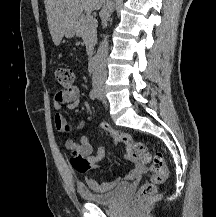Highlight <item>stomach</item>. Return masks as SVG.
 Here are the masks:
<instances>
[{
	"instance_id": "1",
	"label": "stomach",
	"mask_w": 216,
	"mask_h": 217,
	"mask_svg": "<svg viewBox=\"0 0 216 217\" xmlns=\"http://www.w3.org/2000/svg\"><path fill=\"white\" fill-rule=\"evenodd\" d=\"M76 27L73 25L66 31V36L67 37H73L75 35Z\"/></svg>"
}]
</instances>
